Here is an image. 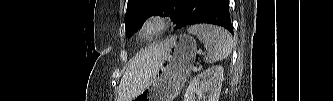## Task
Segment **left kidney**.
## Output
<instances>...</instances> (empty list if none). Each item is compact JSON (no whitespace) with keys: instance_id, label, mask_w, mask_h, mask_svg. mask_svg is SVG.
<instances>
[{"instance_id":"obj_1","label":"left kidney","mask_w":333,"mask_h":101,"mask_svg":"<svg viewBox=\"0 0 333 101\" xmlns=\"http://www.w3.org/2000/svg\"><path fill=\"white\" fill-rule=\"evenodd\" d=\"M224 69L221 65H215L199 73L192 79L184 95V101H218ZM207 94V96L205 95ZM198 96V99L195 97Z\"/></svg>"}]
</instances>
